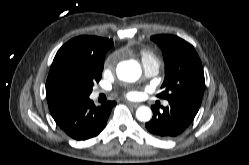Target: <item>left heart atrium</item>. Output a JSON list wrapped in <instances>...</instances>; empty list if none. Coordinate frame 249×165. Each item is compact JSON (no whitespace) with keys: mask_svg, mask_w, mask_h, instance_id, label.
Listing matches in <instances>:
<instances>
[{"mask_svg":"<svg viewBox=\"0 0 249 165\" xmlns=\"http://www.w3.org/2000/svg\"><path fill=\"white\" fill-rule=\"evenodd\" d=\"M126 96L129 99H136L140 96V93L136 90H131V91L127 92Z\"/></svg>","mask_w":249,"mask_h":165,"instance_id":"1","label":"left heart atrium"}]
</instances>
